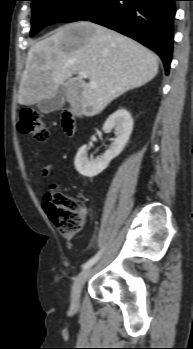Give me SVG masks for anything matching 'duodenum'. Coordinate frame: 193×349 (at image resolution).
I'll use <instances>...</instances> for the list:
<instances>
[{
    "label": "duodenum",
    "instance_id": "1",
    "mask_svg": "<svg viewBox=\"0 0 193 349\" xmlns=\"http://www.w3.org/2000/svg\"><path fill=\"white\" fill-rule=\"evenodd\" d=\"M62 127L67 135L71 136L75 132V121L71 112H65L62 118Z\"/></svg>",
    "mask_w": 193,
    "mask_h": 349
}]
</instances>
